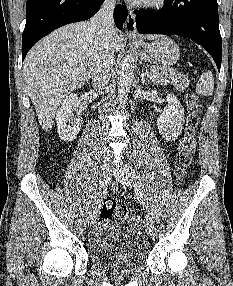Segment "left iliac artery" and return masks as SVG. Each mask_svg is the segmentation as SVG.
Returning a JSON list of instances; mask_svg holds the SVG:
<instances>
[{"label":"left iliac artery","instance_id":"44dca946","mask_svg":"<svg viewBox=\"0 0 233 286\" xmlns=\"http://www.w3.org/2000/svg\"><path fill=\"white\" fill-rule=\"evenodd\" d=\"M130 172H131V175H132V180H133V186H134L135 194L138 197V199H139L141 205L143 206V208H145V202H144V199H143V193H142V190H141V185L138 182V177H137V175L135 173V170L132 168V166H130Z\"/></svg>","mask_w":233,"mask_h":286}]
</instances>
